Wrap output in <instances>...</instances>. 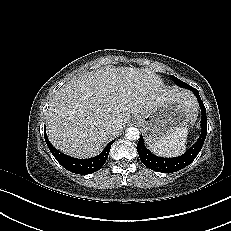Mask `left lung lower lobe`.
<instances>
[{
  "instance_id": "left-lung-lower-lobe-1",
  "label": "left lung lower lobe",
  "mask_w": 231,
  "mask_h": 231,
  "mask_svg": "<svg viewBox=\"0 0 231 231\" xmlns=\"http://www.w3.org/2000/svg\"><path fill=\"white\" fill-rule=\"evenodd\" d=\"M187 89H189L195 94L201 108V112H202L201 135L198 138L197 142L188 151H186L181 156L174 157V158H163V157L155 156L144 146L143 137L140 136L137 145V151L139 157L146 167L154 171L161 172V173H172L185 168L196 158V156L198 155L204 144L207 134L206 109L199 96L198 90L190 85H188Z\"/></svg>"
}]
</instances>
